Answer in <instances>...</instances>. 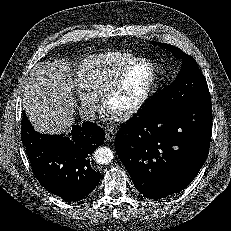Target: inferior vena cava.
<instances>
[{
    "mask_svg": "<svg viewBox=\"0 0 231 231\" xmlns=\"http://www.w3.org/2000/svg\"><path fill=\"white\" fill-rule=\"evenodd\" d=\"M79 116L84 121H94L96 119L95 111L90 106H81L79 109Z\"/></svg>",
    "mask_w": 231,
    "mask_h": 231,
    "instance_id": "1",
    "label": "inferior vena cava"
}]
</instances>
